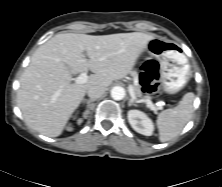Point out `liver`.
Instances as JSON below:
<instances>
[{
    "label": "liver",
    "instance_id": "1",
    "mask_svg": "<svg viewBox=\"0 0 222 187\" xmlns=\"http://www.w3.org/2000/svg\"><path fill=\"white\" fill-rule=\"evenodd\" d=\"M154 37L141 32L53 36L34 52L21 76L17 104L24 121L45 136L61 135L87 90L96 85L106 89L131 73ZM87 70L94 74L86 83H71L72 74Z\"/></svg>",
    "mask_w": 222,
    "mask_h": 187
}]
</instances>
